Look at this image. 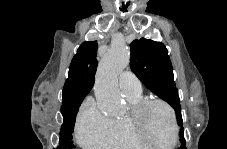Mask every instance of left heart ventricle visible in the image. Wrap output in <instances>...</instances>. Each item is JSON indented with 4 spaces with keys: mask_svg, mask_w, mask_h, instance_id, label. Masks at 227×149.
<instances>
[{
    "mask_svg": "<svg viewBox=\"0 0 227 149\" xmlns=\"http://www.w3.org/2000/svg\"><path fill=\"white\" fill-rule=\"evenodd\" d=\"M144 132L155 143H171L173 125L171 117L164 107L154 105L149 108L144 118Z\"/></svg>",
    "mask_w": 227,
    "mask_h": 149,
    "instance_id": "left-heart-ventricle-1",
    "label": "left heart ventricle"
}]
</instances>
